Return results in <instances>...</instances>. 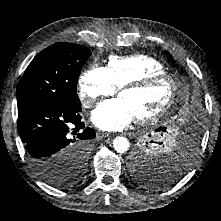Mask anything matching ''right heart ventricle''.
<instances>
[{
  "mask_svg": "<svg viewBox=\"0 0 221 221\" xmlns=\"http://www.w3.org/2000/svg\"><path fill=\"white\" fill-rule=\"evenodd\" d=\"M165 70V66L160 61L145 54L112 56L107 65L108 74L116 88L149 74L165 72Z\"/></svg>",
  "mask_w": 221,
  "mask_h": 221,
  "instance_id": "1",
  "label": "right heart ventricle"
}]
</instances>
